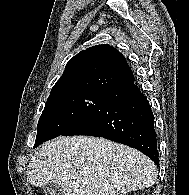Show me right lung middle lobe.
Segmentation results:
<instances>
[{"label":"right lung middle lobe","instance_id":"right-lung-middle-lobe-1","mask_svg":"<svg viewBox=\"0 0 189 195\" xmlns=\"http://www.w3.org/2000/svg\"><path fill=\"white\" fill-rule=\"evenodd\" d=\"M108 94L91 89L50 94L38 122L34 148L78 125Z\"/></svg>","mask_w":189,"mask_h":195}]
</instances>
